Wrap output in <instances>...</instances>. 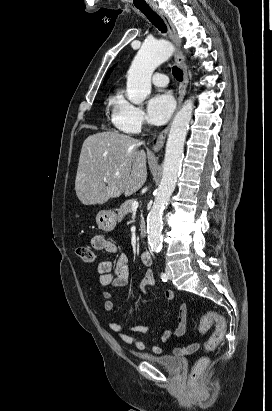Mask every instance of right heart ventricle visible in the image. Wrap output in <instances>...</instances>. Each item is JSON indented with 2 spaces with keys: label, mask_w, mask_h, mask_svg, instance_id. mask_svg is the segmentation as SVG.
<instances>
[{
  "label": "right heart ventricle",
  "mask_w": 272,
  "mask_h": 411,
  "mask_svg": "<svg viewBox=\"0 0 272 411\" xmlns=\"http://www.w3.org/2000/svg\"><path fill=\"white\" fill-rule=\"evenodd\" d=\"M118 95H119V94L110 97L109 103H110V104H113V103L115 102V100L117 99Z\"/></svg>",
  "instance_id": "1"
}]
</instances>
